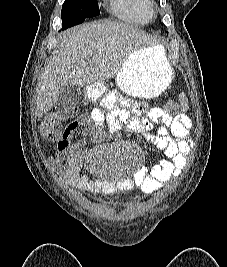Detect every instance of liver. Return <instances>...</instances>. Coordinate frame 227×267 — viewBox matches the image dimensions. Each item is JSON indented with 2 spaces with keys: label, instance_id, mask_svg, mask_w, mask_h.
I'll list each match as a JSON object with an SVG mask.
<instances>
[{
  "label": "liver",
  "instance_id": "1",
  "mask_svg": "<svg viewBox=\"0 0 227 267\" xmlns=\"http://www.w3.org/2000/svg\"><path fill=\"white\" fill-rule=\"evenodd\" d=\"M150 44L145 32L122 22H94L68 29L38 79L36 116L41 118L53 107L63 87L103 83L118 73L134 51Z\"/></svg>",
  "mask_w": 227,
  "mask_h": 267
}]
</instances>
